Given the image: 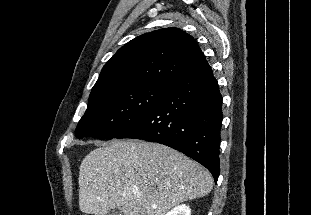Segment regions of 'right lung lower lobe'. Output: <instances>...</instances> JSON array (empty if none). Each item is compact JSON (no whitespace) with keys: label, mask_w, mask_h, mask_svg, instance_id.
Here are the masks:
<instances>
[{"label":"right lung lower lobe","mask_w":311,"mask_h":215,"mask_svg":"<svg viewBox=\"0 0 311 215\" xmlns=\"http://www.w3.org/2000/svg\"><path fill=\"white\" fill-rule=\"evenodd\" d=\"M221 126L222 95L207 64L169 82L158 104L115 138L167 145L205 166L217 182Z\"/></svg>","instance_id":"98d812e1"}]
</instances>
